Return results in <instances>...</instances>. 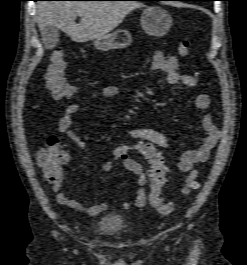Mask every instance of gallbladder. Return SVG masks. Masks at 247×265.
Here are the masks:
<instances>
[{"instance_id": "obj_1", "label": "gallbladder", "mask_w": 247, "mask_h": 265, "mask_svg": "<svg viewBox=\"0 0 247 265\" xmlns=\"http://www.w3.org/2000/svg\"><path fill=\"white\" fill-rule=\"evenodd\" d=\"M41 40L46 49H53L59 41V30L55 26L47 25L41 31Z\"/></svg>"}]
</instances>
